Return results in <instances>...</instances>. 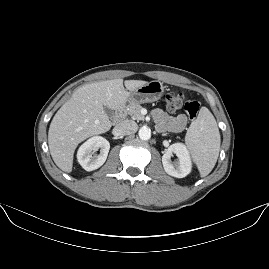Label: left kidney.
<instances>
[{"mask_svg":"<svg viewBox=\"0 0 269 269\" xmlns=\"http://www.w3.org/2000/svg\"><path fill=\"white\" fill-rule=\"evenodd\" d=\"M171 153H175L180 160L171 161ZM162 163L165 171L174 177L183 178L189 175L193 170V161L188 147L183 142H175L162 157Z\"/></svg>","mask_w":269,"mask_h":269,"instance_id":"obj_1","label":"left kidney"}]
</instances>
